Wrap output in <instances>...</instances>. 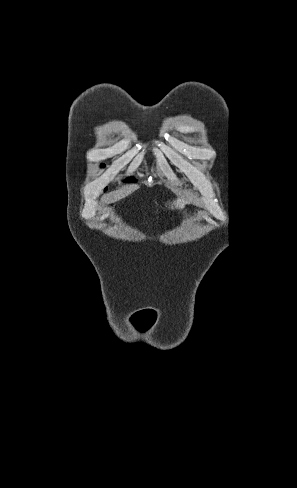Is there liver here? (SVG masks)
<instances>
[{
	"mask_svg": "<svg viewBox=\"0 0 297 488\" xmlns=\"http://www.w3.org/2000/svg\"><path fill=\"white\" fill-rule=\"evenodd\" d=\"M174 205L178 207V205L180 206V200L178 199L176 202H174Z\"/></svg>",
	"mask_w": 297,
	"mask_h": 488,
	"instance_id": "6515ba94",
	"label": "liver"
}]
</instances>
